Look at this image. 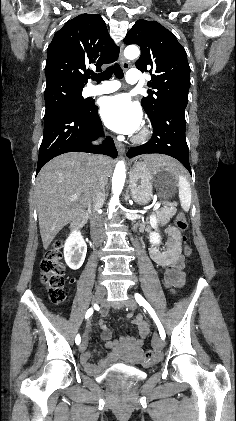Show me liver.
Here are the masks:
<instances>
[{"instance_id": "obj_1", "label": "liver", "mask_w": 236, "mask_h": 421, "mask_svg": "<svg viewBox=\"0 0 236 421\" xmlns=\"http://www.w3.org/2000/svg\"><path fill=\"white\" fill-rule=\"evenodd\" d=\"M148 166H167L176 162L171 156L143 154ZM114 160L109 156H90L86 152H64L49 160L41 168L35 184L40 235L44 249H48L59 231L80 217L91 202L96 182L94 168L99 166L101 176L108 184ZM77 194V200H72Z\"/></svg>"}]
</instances>
